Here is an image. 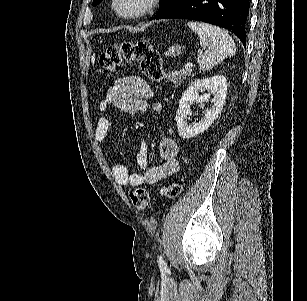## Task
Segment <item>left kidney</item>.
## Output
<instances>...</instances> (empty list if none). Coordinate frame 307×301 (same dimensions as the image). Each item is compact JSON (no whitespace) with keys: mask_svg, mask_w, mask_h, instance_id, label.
<instances>
[{"mask_svg":"<svg viewBox=\"0 0 307 301\" xmlns=\"http://www.w3.org/2000/svg\"><path fill=\"white\" fill-rule=\"evenodd\" d=\"M227 78L223 74L217 76H210V78H198L189 84L187 90L183 92L179 108L176 112V122L178 132L182 138H192L199 132H204L211 126L213 120L219 116L227 94ZM203 90H208L206 94H199ZM213 94V98H210ZM210 98V100H209ZM205 100L212 102L210 108H205L204 116L198 122H188L189 114L191 112V104L199 102L203 104Z\"/></svg>","mask_w":307,"mask_h":301,"instance_id":"1","label":"left kidney"}]
</instances>
